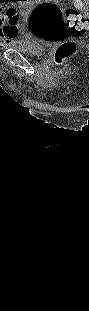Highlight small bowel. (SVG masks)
<instances>
[{
    "label": "small bowel",
    "mask_w": 89,
    "mask_h": 311,
    "mask_svg": "<svg viewBox=\"0 0 89 311\" xmlns=\"http://www.w3.org/2000/svg\"><path fill=\"white\" fill-rule=\"evenodd\" d=\"M18 32H19V28H16L14 30L13 28L6 27L3 32V38L5 39V42L3 45H7L9 42L14 41L18 36Z\"/></svg>",
    "instance_id": "small-bowel-1"
}]
</instances>
